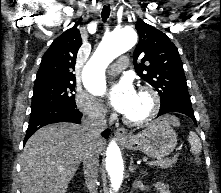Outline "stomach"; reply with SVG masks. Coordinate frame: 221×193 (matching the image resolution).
<instances>
[{"instance_id":"0dacf381","label":"stomach","mask_w":221,"mask_h":193,"mask_svg":"<svg viewBox=\"0 0 221 193\" xmlns=\"http://www.w3.org/2000/svg\"><path fill=\"white\" fill-rule=\"evenodd\" d=\"M122 143L129 150H139L149 157L160 158L173 152L177 134L169 124L158 119L141 132L129 134Z\"/></svg>"}]
</instances>
